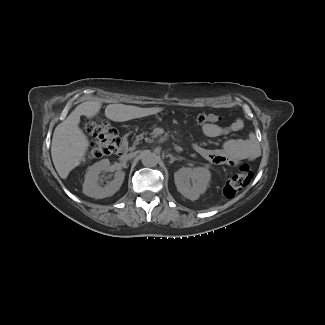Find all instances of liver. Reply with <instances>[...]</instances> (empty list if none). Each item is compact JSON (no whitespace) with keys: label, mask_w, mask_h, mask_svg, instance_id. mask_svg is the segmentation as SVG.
Listing matches in <instances>:
<instances>
[{"label":"liver","mask_w":325,"mask_h":325,"mask_svg":"<svg viewBox=\"0 0 325 325\" xmlns=\"http://www.w3.org/2000/svg\"><path fill=\"white\" fill-rule=\"evenodd\" d=\"M101 107V101L83 102L55 128L51 156L55 169L62 179H66L69 173L82 162L89 147L88 138L79 127L80 116L93 118L99 113ZM162 110V107L141 108L132 105L109 104L105 109V116L112 121L124 122L157 114Z\"/></svg>","instance_id":"6515ba94"}]
</instances>
